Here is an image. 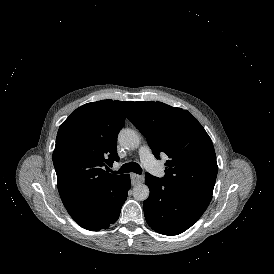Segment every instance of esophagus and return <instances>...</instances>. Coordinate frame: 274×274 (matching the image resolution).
<instances>
[{"label": "esophagus", "instance_id": "1", "mask_svg": "<svg viewBox=\"0 0 274 274\" xmlns=\"http://www.w3.org/2000/svg\"><path fill=\"white\" fill-rule=\"evenodd\" d=\"M130 177H131V184L133 186L144 182V176H142V175H138V174L132 173L130 175Z\"/></svg>", "mask_w": 274, "mask_h": 274}]
</instances>
